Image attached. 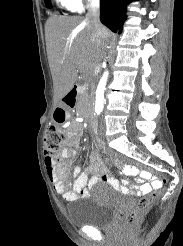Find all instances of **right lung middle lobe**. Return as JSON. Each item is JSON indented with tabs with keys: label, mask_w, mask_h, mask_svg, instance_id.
I'll use <instances>...</instances> for the list:
<instances>
[{
	"label": "right lung middle lobe",
	"mask_w": 183,
	"mask_h": 246,
	"mask_svg": "<svg viewBox=\"0 0 183 246\" xmlns=\"http://www.w3.org/2000/svg\"><path fill=\"white\" fill-rule=\"evenodd\" d=\"M47 7L51 8L50 0H44Z\"/></svg>",
	"instance_id": "obj_1"
}]
</instances>
